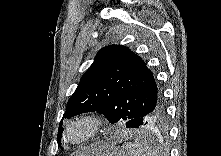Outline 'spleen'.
Instances as JSON below:
<instances>
[{
    "mask_svg": "<svg viewBox=\"0 0 221 156\" xmlns=\"http://www.w3.org/2000/svg\"><path fill=\"white\" fill-rule=\"evenodd\" d=\"M128 156H157V152L142 142H128L124 145Z\"/></svg>",
    "mask_w": 221,
    "mask_h": 156,
    "instance_id": "spleen-1",
    "label": "spleen"
}]
</instances>
